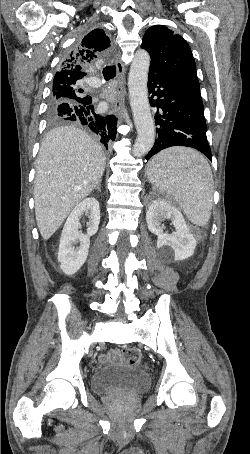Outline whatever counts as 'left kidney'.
Returning a JSON list of instances; mask_svg holds the SVG:
<instances>
[{
    "label": "left kidney",
    "instance_id": "1",
    "mask_svg": "<svg viewBox=\"0 0 250 454\" xmlns=\"http://www.w3.org/2000/svg\"><path fill=\"white\" fill-rule=\"evenodd\" d=\"M166 219L175 228L172 234L163 232L161 223ZM146 221L148 229L158 237L157 248L163 256L181 261L194 254L197 241L177 207L164 199H156L148 207Z\"/></svg>",
    "mask_w": 250,
    "mask_h": 454
}]
</instances>
